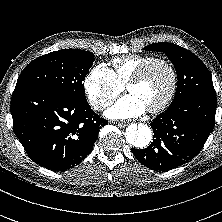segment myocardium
<instances>
[{
  "label": "myocardium",
  "instance_id": "f54148a6",
  "mask_svg": "<svg viewBox=\"0 0 222 222\" xmlns=\"http://www.w3.org/2000/svg\"><path fill=\"white\" fill-rule=\"evenodd\" d=\"M157 64L163 65L169 70L170 75H171V84H170V89H169L167 95L165 96V98L158 105L147 109L149 113H153V114L159 113V112L163 111L164 109H166L176 94L177 86H178V74H177V70H176L175 66L173 65V63H171L170 61L163 59V58H154V59L146 62L142 66H140L126 82V89L128 90V88L131 84L141 82L143 80V78L145 77V75L147 74V72L153 66H155Z\"/></svg>",
  "mask_w": 222,
  "mask_h": 222
}]
</instances>
